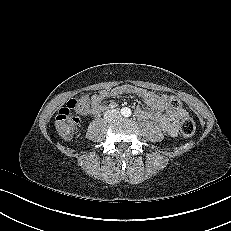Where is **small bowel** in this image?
<instances>
[{"label":"small bowel","instance_id":"small-bowel-1","mask_svg":"<svg viewBox=\"0 0 231 231\" xmlns=\"http://www.w3.org/2000/svg\"><path fill=\"white\" fill-rule=\"evenodd\" d=\"M129 93L145 99L148 109L137 107L136 115L138 117L158 122L163 131L170 136L177 134L178 120L183 116H187V111L184 109H172L168 104V96L166 94H158L129 84L101 90L92 96H82L79 99L82 113L89 115L99 114L106 109L104 105L106 99Z\"/></svg>","mask_w":231,"mask_h":231}]
</instances>
